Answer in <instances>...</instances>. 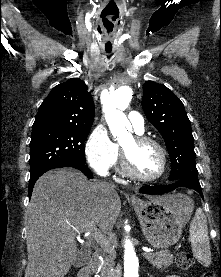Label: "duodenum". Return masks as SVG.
I'll list each match as a JSON object with an SVG mask.
<instances>
[{
  "instance_id": "obj_1",
  "label": "duodenum",
  "mask_w": 221,
  "mask_h": 277,
  "mask_svg": "<svg viewBox=\"0 0 221 277\" xmlns=\"http://www.w3.org/2000/svg\"><path fill=\"white\" fill-rule=\"evenodd\" d=\"M101 258L98 253H94L85 269H83L79 277H89L92 272L96 271L100 265Z\"/></svg>"
}]
</instances>
